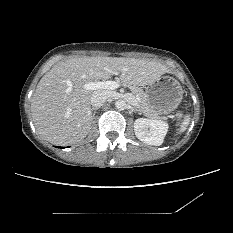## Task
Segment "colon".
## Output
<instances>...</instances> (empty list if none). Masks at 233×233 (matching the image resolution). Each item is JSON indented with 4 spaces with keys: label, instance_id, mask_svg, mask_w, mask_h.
Segmentation results:
<instances>
[{
    "label": "colon",
    "instance_id": "obj_1",
    "mask_svg": "<svg viewBox=\"0 0 233 233\" xmlns=\"http://www.w3.org/2000/svg\"><path fill=\"white\" fill-rule=\"evenodd\" d=\"M183 112L182 111H178L176 113V125L178 126L183 118Z\"/></svg>",
    "mask_w": 233,
    "mask_h": 233
}]
</instances>
